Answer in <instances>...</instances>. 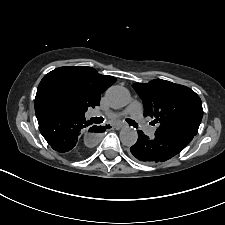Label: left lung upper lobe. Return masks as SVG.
I'll return each mask as SVG.
<instances>
[{"mask_svg": "<svg viewBox=\"0 0 225 225\" xmlns=\"http://www.w3.org/2000/svg\"><path fill=\"white\" fill-rule=\"evenodd\" d=\"M133 88L143 100L144 116L154 118L152 123L158 124L155 134H197L203 108L192 89L162 79L135 83Z\"/></svg>", "mask_w": 225, "mask_h": 225, "instance_id": "5c2ea615", "label": "left lung upper lobe"}]
</instances>
